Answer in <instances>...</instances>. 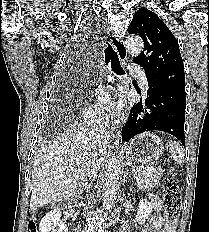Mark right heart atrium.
I'll list each match as a JSON object with an SVG mask.
<instances>
[{
    "label": "right heart atrium",
    "instance_id": "obj_1",
    "mask_svg": "<svg viewBox=\"0 0 209 232\" xmlns=\"http://www.w3.org/2000/svg\"><path fill=\"white\" fill-rule=\"evenodd\" d=\"M82 119L88 124H98L102 121L103 115L96 105L90 104L84 110Z\"/></svg>",
    "mask_w": 209,
    "mask_h": 232
}]
</instances>
